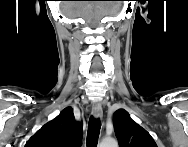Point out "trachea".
Segmentation results:
<instances>
[{
  "label": "trachea",
  "instance_id": "1",
  "mask_svg": "<svg viewBox=\"0 0 188 147\" xmlns=\"http://www.w3.org/2000/svg\"><path fill=\"white\" fill-rule=\"evenodd\" d=\"M101 122L93 116L90 117L88 123V132H87V147H97L98 137L100 133Z\"/></svg>",
  "mask_w": 188,
  "mask_h": 147
}]
</instances>
